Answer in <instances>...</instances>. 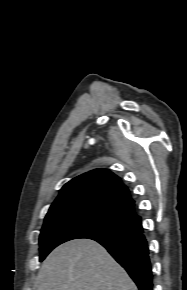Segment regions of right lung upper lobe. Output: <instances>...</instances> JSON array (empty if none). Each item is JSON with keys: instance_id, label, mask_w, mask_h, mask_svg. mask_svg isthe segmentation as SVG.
I'll use <instances>...</instances> for the list:
<instances>
[{"instance_id": "obj_1", "label": "right lung upper lobe", "mask_w": 187, "mask_h": 290, "mask_svg": "<svg viewBox=\"0 0 187 290\" xmlns=\"http://www.w3.org/2000/svg\"><path fill=\"white\" fill-rule=\"evenodd\" d=\"M107 208L130 221H141L134 212V200L120 178L106 169L86 172L66 183L48 214L76 207Z\"/></svg>"}]
</instances>
